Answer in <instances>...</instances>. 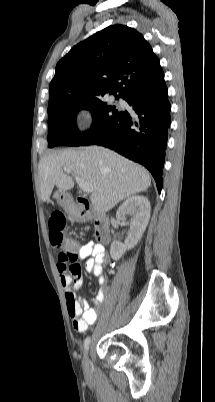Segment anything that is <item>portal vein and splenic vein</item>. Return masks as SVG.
Here are the masks:
<instances>
[{"label":"portal vein and splenic vein","instance_id":"obj_1","mask_svg":"<svg viewBox=\"0 0 215 402\" xmlns=\"http://www.w3.org/2000/svg\"><path fill=\"white\" fill-rule=\"evenodd\" d=\"M64 172L66 173H71V171L67 168L63 169ZM75 180L77 184L79 185L80 189L85 192V193H91L93 191V186L92 184L85 182L84 180L80 179L79 177L75 176Z\"/></svg>","mask_w":215,"mask_h":402}]
</instances>
